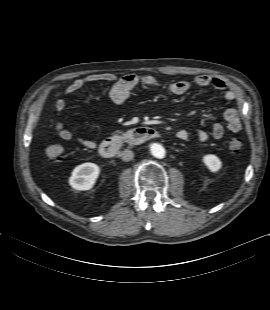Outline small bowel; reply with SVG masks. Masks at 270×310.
Wrapping results in <instances>:
<instances>
[{"instance_id": "obj_1", "label": "small bowel", "mask_w": 270, "mask_h": 310, "mask_svg": "<svg viewBox=\"0 0 270 310\" xmlns=\"http://www.w3.org/2000/svg\"><path fill=\"white\" fill-rule=\"evenodd\" d=\"M98 82H113L110 90V98L116 104H121L127 100L131 91L138 85L143 84L149 87L165 88L175 95H182L187 93L193 85L198 87L213 86L217 90L224 91L223 97L227 101H234L239 98V92L234 88H229L225 81L220 78L211 77L209 75H199L192 82L188 80H179L171 83H162L153 76H138L135 74H128L122 77H117L113 73H97L74 80L65 90V95L74 94L89 83ZM66 108V100L61 98L54 103V109L60 113ZM226 121V128L232 132L237 133L242 129V123L239 112L236 108H229L224 112ZM55 133L65 141L73 139V133L67 129L61 121H57L54 125ZM225 127L221 123H216L212 126L211 135L214 139H221L224 136ZM177 138L182 141L191 139V134L186 130H179L176 134ZM200 142H205L209 138V133L200 129L195 134ZM79 143L87 148H96V143L86 138H80Z\"/></svg>"}]
</instances>
